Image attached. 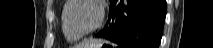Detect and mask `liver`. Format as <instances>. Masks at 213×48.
<instances>
[{"mask_svg": "<svg viewBox=\"0 0 213 48\" xmlns=\"http://www.w3.org/2000/svg\"><path fill=\"white\" fill-rule=\"evenodd\" d=\"M97 43V40H85L81 44L78 45V48H88Z\"/></svg>", "mask_w": 213, "mask_h": 48, "instance_id": "1", "label": "liver"}]
</instances>
